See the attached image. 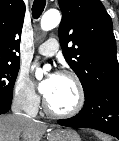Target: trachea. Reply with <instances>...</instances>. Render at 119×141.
Listing matches in <instances>:
<instances>
[{
  "label": "trachea",
  "mask_w": 119,
  "mask_h": 141,
  "mask_svg": "<svg viewBox=\"0 0 119 141\" xmlns=\"http://www.w3.org/2000/svg\"><path fill=\"white\" fill-rule=\"evenodd\" d=\"M46 0H34L32 6V15L34 19H38L45 8Z\"/></svg>",
  "instance_id": "obj_1"
}]
</instances>
